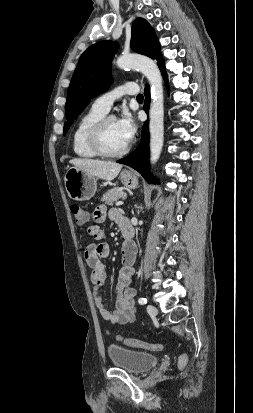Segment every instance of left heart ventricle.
Here are the masks:
<instances>
[{
  "label": "left heart ventricle",
  "mask_w": 253,
  "mask_h": 413,
  "mask_svg": "<svg viewBox=\"0 0 253 413\" xmlns=\"http://www.w3.org/2000/svg\"><path fill=\"white\" fill-rule=\"evenodd\" d=\"M103 142L109 151H118L127 145L117 128L115 119L106 123L103 130Z\"/></svg>",
  "instance_id": "obj_1"
}]
</instances>
